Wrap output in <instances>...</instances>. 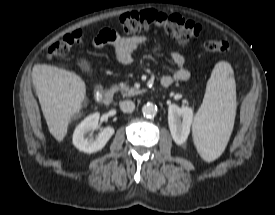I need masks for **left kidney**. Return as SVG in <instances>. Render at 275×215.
<instances>
[{"instance_id": "5707ae66", "label": "left kidney", "mask_w": 275, "mask_h": 215, "mask_svg": "<svg viewBox=\"0 0 275 215\" xmlns=\"http://www.w3.org/2000/svg\"><path fill=\"white\" fill-rule=\"evenodd\" d=\"M193 120V110L172 104L168 108V124L173 140L176 144H183L190 133Z\"/></svg>"}]
</instances>
